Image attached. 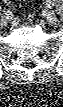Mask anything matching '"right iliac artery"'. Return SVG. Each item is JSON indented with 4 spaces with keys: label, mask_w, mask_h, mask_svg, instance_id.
Returning a JSON list of instances; mask_svg holds the SVG:
<instances>
[{
    "label": "right iliac artery",
    "mask_w": 63,
    "mask_h": 107,
    "mask_svg": "<svg viewBox=\"0 0 63 107\" xmlns=\"http://www.w3.org/2000/svg\"><path fill=\"white\" fill-rule=\"evenodd\" d=\"M4 16L10 20H12V18H13V14L9 10L4 12Z\"/></svg>",
    "instance_id": "obj_1"
}]
</instances>
